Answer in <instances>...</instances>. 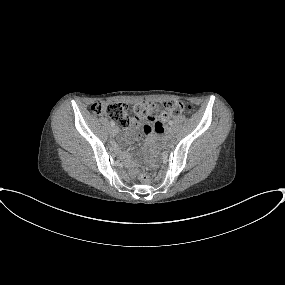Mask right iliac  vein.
<instances>
[{
    "label": "right iliac vein",
    "instance_id": "63e3f726",
    "mask_svg": "<svg viewBox=\"0 0 285 285\" xmlns=\"http://www.w3.org/2000/svg\"><path fill=\"white\" fill-rule=\"evenodd\" d=\"M117 132H118V129L116 127H112L110 129V135L113 137L117 134Z\"/></svg>",
    "mask_w": 285,
    "mask_h": 285
}]
</instances>
